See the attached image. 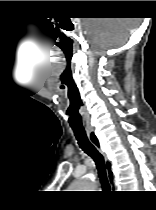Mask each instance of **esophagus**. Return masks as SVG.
<instances>
[{"mask_svg": "<svg viewBox=\"0 0 156 210\" xmlns=\"http://www.w3.org/2000/svg\"><path fill=\"white\" fill-rule=\"evenodd\" d=\"M88 137L91 141V143L96 147V149L102 154V156L104 157L106 166H107V171L108 169L112 168V163L108 160V157L106 155V153L102 150L101 145H100V141L96 135L95 132H88ZM108 175V180H109V184L110 186H112V178H110L109 174Z\"/></svg>", "mask_w": 156, "mask_h": 210, "instance_id": "1", "label": "esophagus"}]
</instances>
